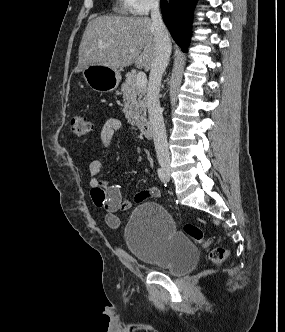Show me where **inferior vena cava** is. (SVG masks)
Here are the masks:
<instances>
[{
    "label": "inferior vena cava",
    "instance_id": "602c4592",
    "mask_svg": "<svg viewBox=\"0 0 285 332\" xmlns=\"http://www.w3.org/2000/svg\"><path fill=\"white\" fill-rule=\"evenodd\" d=\"M151 20L155 37V57L153 59L149 83L147 89V108L149 120L153 129L155 150L160 164L170 162L166 130L159 102V91L162 75L168 65L171 55V41L169 32L163 23L159 0H153L151 4Z\"/></svg>",
    "mask_w": 285,
    "mask_h": 332
}]
</instances>
